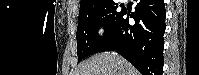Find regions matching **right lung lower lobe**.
<instances>
[{
  "label": "right lung lower lobe",
  "instance_id": "obj_1",
  "mask_svg": "<svg viewBox=\"0 0 199 75\" xmlns=\"http://www.w3.org/2000/svg\"><path fill=\"white\" fill-rule=\"evenodd\" d=\"M135 20L130 25L123 10L114 30L97 52L117 51L142 75H162L165 32L163 0H135ZM96 52V53H97Z\"/></svg>",
  "mask_w": 199,
  "mask_h": 75
}]
</instances>
